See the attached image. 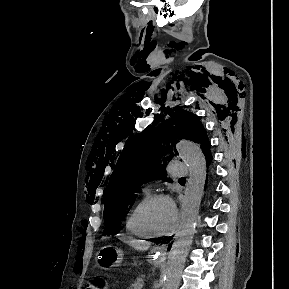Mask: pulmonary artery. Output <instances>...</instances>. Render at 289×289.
Returning a JSON list of instances; mask_svg holds the SVG:
<instances>
[{
    "mask_svg": "<svg viewBox=\"0 0 289 289\" xmlns=\"http://www.w3.org/2000/svg\"><path fill=\"white\" fill-rule=\"evenodd\" d=\"M167 170L171 176L184 177L187 174L188 165L182 161H172L169 163Z\"/></svg>",
    "mask_w": 289,
    "mask_h": 289,
    "instance_id": "e3ab8cb5",
    "label": "pulmonary artery"
}]
</instances>
